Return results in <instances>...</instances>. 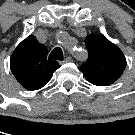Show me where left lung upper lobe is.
I'll return each mask as SVG.
<instances>
[{"label":"left lung upper lobe","instance_id":"obj_1","mask_svg":"<svg viewBox=\"0 0 135 135\" xmlns=\"http://www.w3.org/2000/svg\"><path fill=\"white\" fill-rule=\"evenodd\" d=\"M88 60L79 68L86 79L97 86H109L120 78L126 58L106 37L90 34L85 38Z\"/></svg>","mask_w":135,"mask_h":135}]
</instances>
